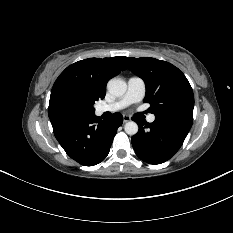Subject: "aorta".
Returning a JSON list of instances; mask_svg holds the SVG:
<instances>
[{
    "label": "aorta",
    "instance_id": "obj_1",
    "mask_svg": "<svg viewBox=\"0 0 233 233\" xmlns=\"http://www.w3.org/2000/svg\"><path fill=\"white\" fill-rule=\"evenodd\" d=\"M107 89L110 94L114 96H122L127 90V84L120 78H112L107 83ZM138 125L134 121L127 122L124 126V130L128 135H135L138 132Z\"/></svg>",
    "mask_w": 233,
    "mask_h": 233
}]
</instances>
